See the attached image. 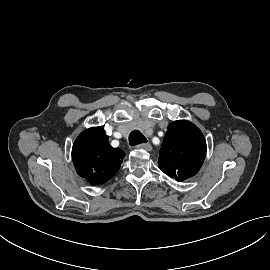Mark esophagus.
I'll return each instance as SVG.
<instances>
[{"label":"esophagus","instance_id":"1","mask_svg":"<svg viewBox=\"0 0 270 270\" xmlns=\"http://www.w3.org/2000/svg\"><path fill=\"white\" fill-rule=\"evenodd\" d=\"M138 149H144L146 151H151L152 150V146L149 143H142L137 145Z\"/></svg>","mask_w":270,"mask_h":270}]
</instances>
